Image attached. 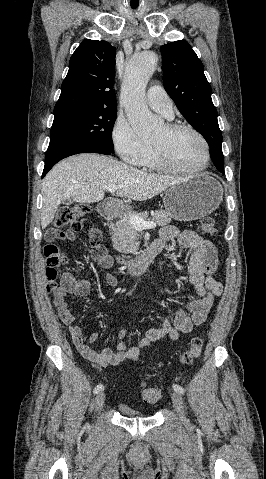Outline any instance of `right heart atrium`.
I'll use <instances>...</instances> for the list:
<instances>
[{"label": "right heart atrium", "mask_w": 266, "mask_h": 479, "mask_svg": "<svg viewBox=\"0 0 266 479\" xmlns=\"http://www.w3.org/2000/svg\"><path fill=\"white\" fill-rule=\"evenodd\" d=\"M111 139L119 157L128 164L141 166L152 154L149 142L141 139L131 124L122 117L116 119Z\"/></svg>", "instance_id": "d8ad5b80"}]
</instances>
